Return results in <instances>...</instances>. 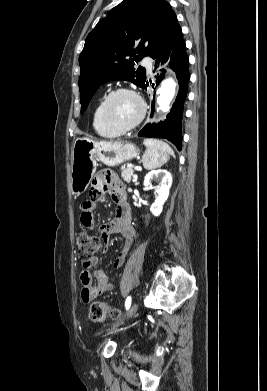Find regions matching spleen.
<instances>
[{
	"mask_svg": "<svg viewBox=\"0 0 267 391\" xmlns=\"http://www.w3.org/2000/svg\"><path fill=\"white\" fill-rule=\"evenodd\" d=\"M146 150L142 156L143 166L147 170L161 167L169 160L170 156H175L173 149L165 142L157 139H145Z\"/></svg>",
	"mask_w": 267,
	"mask_h": 391,
	"instance_id": "obj_1",
	"label": "spleen"
}]
</instances>
